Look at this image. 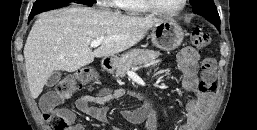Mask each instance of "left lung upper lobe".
Segmentation results:
<instances>
[{
  "mask_svg": "<svg viewBox=\"0 0 257 130\" xmlns=\"http://www.w3.org/2000/svg\"><path fill=\"white\" fill-rule=\"evenodd\" d=\"M194 13L206 17L216 27L220 26V18L213 0H190Z\"/></svg>",
  "mask_w": 257,
  "mask_h": 130,
  "instance_id": "1",
  "label": "left lung upper lobe"
}]
</instances>
